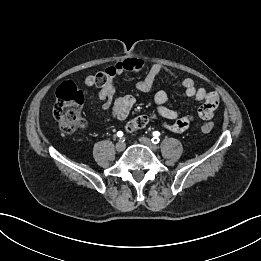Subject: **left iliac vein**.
Masks as SVG:
<instances>
[{
  "label": "left iliac vein",
  "mask_w": 261,
  "mask_h": 261,
  "mask_svg": "<svg viewBox=\"0 0 261 261\" xmlns=\"http://www.w3.org/2000/svg\"><path fill=\"white\" fill-rule=\"evenodd\" d=\"M139 141L146 145L147 147H149L152 151H156L157 150V146L155 144L152 143V141L147 138V137H140Z\"/></svg>",
  "instance_id": "1"
}]
</instances>
